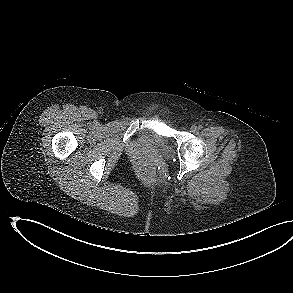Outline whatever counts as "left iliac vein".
Here are the masks:
<instances>
[{"label":"left iliac vein","instance_id":"1","mask_svg":"<svg viewBox=\"0 0 293 293\" xmlns=\"http://www.w3.org/2000/svg\"><path fill=\"white\" fill-rule=\"evenodd\" d=\"M190 131L192 133H195L197 131V127L195 125H192L191 128H190Z\"/></svg>","mask_w":293,"mask_h":293}]
</instances>
